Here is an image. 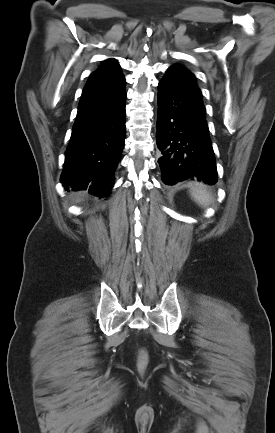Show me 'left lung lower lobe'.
I'll return each instance as SVG.
<instances>
[{
	"label": "left lung lower lobe",
	"instance_id": "left-lung-lower-lobe-1",
	"mask_svg": "<svg viewBox=\"0 0 275 433\" xmlns=\"http://www.w3.org/2000/svg\"><path fill=\"white\" fill-rule=\"evenodd\" d=\"M157 98L156 142L163 183L173 185L195 178L215 184L217 168L202 95L164 77L158 84Z\"/></svg>",
	"mask_w": 275,
	"mask_h": 433
}]
</instances>
